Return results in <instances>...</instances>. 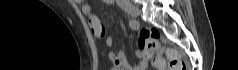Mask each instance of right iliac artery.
<instances>
[{
    "instance_id": "82829eb1",
    "label": "right iliac artery",
    "mask_w": 238,
    "mask_h": 70,
    "mask_svg": "<svg viewBox=\"0 0 238 70\" xmlns=\"http://www.w3.org/2000/svg\"><path fill=\"white\" fill-rule=\"evenodd\" d=\"M129 25L132 29H138L139 24L136 20H130Z\"/></svg>"
}]
</instances>
